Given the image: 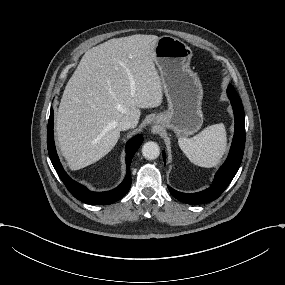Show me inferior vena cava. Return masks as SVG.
<instances>
[{
    "label": "inferior vena cava",
    "instance_id": "1",
    "mask_svg": "<svg viewBox=\"0 0 285 285\" xmlns=\"http://www.w3.org/2000/svg\"><path fill=\"white\" fill-rule=\"evenodd\" d=\"M135 124L134 122L132 121V119L129 118V116H125L123 117L120 122L118 123V128L120 130H127L131 127H134Z\"/></svg>",
    "mask_w": 285,
    "mask_h": 285
}]
</instances>
